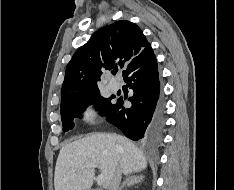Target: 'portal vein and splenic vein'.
Listing matches in <instances>:
<instances>
[{
	"label": "portal vein and splenic vein",
	"instance_id": "1",
	"mask_svg": "<svg viewBox=\"0 0 234 190\" xmlns=\"http://www.w3.org/2000/svg\"><path fill=\"white\" fill-rule=\"evenodd\" d=\"M99 167V165L97 164V163H89V164H87V165H85V168L86 169H89V168H98ZM97 183H98V185H103L104 184V177H103V175H98V177H97Z\"/></svg>",
	"mask_w": 234,
	"mask_h": 190
}]
</instances>
